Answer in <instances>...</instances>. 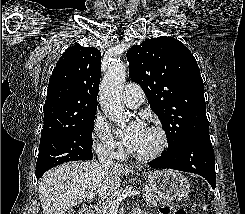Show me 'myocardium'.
Masks as SVG:
<instances>
[{
  "label": "myocardium",
  "mask_w": 245,
  "mask_h": 214,
  "mask_svg": "<svg viewBox=\"0 0 245 214\" xmlns=\"http://www.w3.org/2000/svg\"><path fill=\"white\" fill-rule=\"evenodd\" d=\"M148 129L154 131L155 133L158 134L159 138H160V143L158 145V147L150 152V153H146V154H138V153H134L132 151L129 150V154L139 160V161H152L157 159L158 157H160L164 151L167 149L168 144H169V139H168V135L166 133V131L159 125H149L147 126Z\"/></svg>",
  "instance_id": "1"
}]
</instances>
